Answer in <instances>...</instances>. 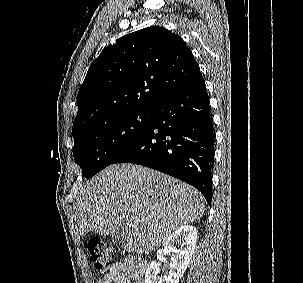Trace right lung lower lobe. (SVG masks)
Here are the masks:
<instances>
[{
	"mask_svg": "<svg viewBox=\"0 0 303 283\" xmlns=\"http://www.w3.org/2000/svg\"><path fill=\"white\" fill-rule=\"evenodd\" d=\"M203 78L151 110L144 134L115 163L150 167L180 179L212 200L214 134Z\"/></svg>",
	"mask_w": 303,
	"mask_h": 283,
	"instance_id": "1",
	"label": "right lung lower lobe"
}]
</instances>
